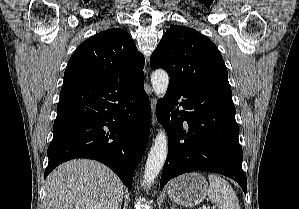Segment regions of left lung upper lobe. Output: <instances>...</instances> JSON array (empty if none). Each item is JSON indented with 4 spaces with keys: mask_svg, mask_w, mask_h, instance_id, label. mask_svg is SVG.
Here are the masks:
<instances>
[{
    "mask_svg": "<svg viewBox=\"0 0 299 209\" xmlns=\"http://www.w3.org/2000/svg\"><path fill=\"white\" fill-rule=\"evenodd\" d=\"M151 68H163L170 83L231 89L224 60L215 44L192 28L172 26L152 53Z\"/></svg>",
    "mask_w": 299,
    "mask_h": 209,
    "instance_id": "5c2ea615",
    "label": "left lung upper lobe"
}]
</instances>
